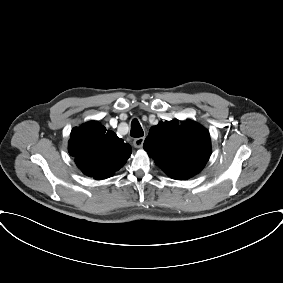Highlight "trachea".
Here are the masks:
<instances>
[{"mask_svg":"<svg viewBox=\"0 0 283 283\" xmlns=\"http://www.w3.org/2000/svg\"><path fill=\"white\" fill-rule=\"evenodd\" d=\"M130 135L132 137H142L144 135L143 129L137 119H133L131 122Z\"/></svg>","mask_w":283,"mask_h":283,"instance_id":"3493384b","label":"trachea"}]
</instances>
